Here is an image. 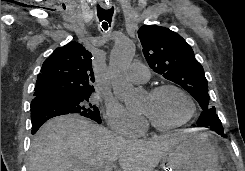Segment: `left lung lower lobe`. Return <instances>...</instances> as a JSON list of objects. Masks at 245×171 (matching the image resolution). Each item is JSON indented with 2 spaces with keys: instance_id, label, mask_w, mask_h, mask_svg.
I'll return each instance as SVG.
<instances>
[{
  "instance_id": "0a47b994",
  "label": "left lung lower lobe",
  "mask_w": 245,
  "mask_h": 171,
  "mask_svg": "<svg viewBox=\"0 0 245 171\" xmlns=\"http://www.w3.org/2000/svg\"><path fill=\"white\" fill-rule=\"evenodd\" d=\"M196 124L199 127H208L214 130L217 134L221 135L222 137H226L222 127V123L215 112H211V111L202 112Z\"/></svg>"
}]
</instances>
